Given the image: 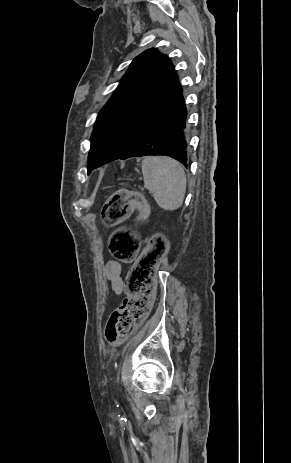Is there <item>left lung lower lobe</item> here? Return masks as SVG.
Listing matches in <instances>:
<instances>
[{"label":"left lung lower lobe","instance_id":"left-lung-lower-lobe-1","mask_svg":"<svg viewBox=\"0 0 291 463\" xmlns=\"http://www.w3.org/2000/svg\"><path fill=\"white\" fill-rule=\"evenodd\" d=\"M186 116V106L183 95H181L174 108L145 135L137 146L123 156L98 161L88 170V174L94 168L112 160L142 156H169L187 167Z\"/></svg>","mask_w":291,"mask_h":463}]
</instances>
